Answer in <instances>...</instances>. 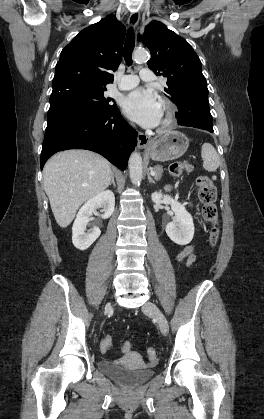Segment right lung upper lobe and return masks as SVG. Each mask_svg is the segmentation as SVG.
<instances>
[{"label": "right lung upper lobe", "instance_id": "1", "mask_svg": "<svg viewBox=\"0 0 264 419\" xmlns=\"http://www.w3.org/2000/svg\"><path fill=\"white\" fill-rule=\"evenodd\" d=\"M126 28L109 16L82 30L61 52L52 94L71 87L106 88L122 58Z\"/></svg>", "mask_w": 264, "mask_h": 419}]
</instances>
